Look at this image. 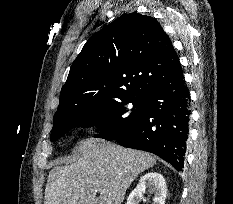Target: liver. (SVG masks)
I'll return each mask as SVG.
<instances>
[{"label":"liver","mask_w":233,"mask_h":204,"mask_svg":"<svg viewBox=\"0 0 233 204\" xmlns=\"http://www.w3.org/2000/svg\"><path fill=\"white\" fill-rule=\"evenodd\" d=\"M75 151L74 163L49 172L44 204H122L136 177L156 164L149 153L103 139L82 140Z\"/></svg>","instance_id":"liver-1"}]
</instances>
